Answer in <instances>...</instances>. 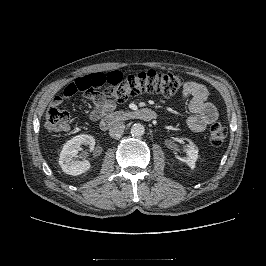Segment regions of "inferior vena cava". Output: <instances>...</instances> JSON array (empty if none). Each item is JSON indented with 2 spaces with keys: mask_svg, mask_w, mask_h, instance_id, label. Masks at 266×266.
<instances>
[{
  "mask_svg": "<svg viewBox=\"0 0 266 266\" xmlns=\"http://www.w3.org/2000/svg\"><path fill=\"white\" fill-rule=\"evenodd\" d=\"M125 124L123 122L114 123L109 129V135L112 138H120L124 132Z\"/></svg>",
  "mask_w": 266,
  "mask_h": 266,
  "instance_id": "602c4592",
  "label": "inferior vena cava"
}]
</instances>
